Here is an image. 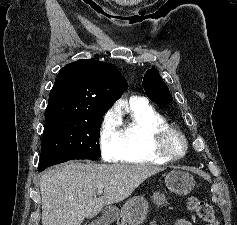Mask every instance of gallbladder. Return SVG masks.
<instances>
[{
    "label": "gallbladder",
    "mask_w": 237,
    "mask_h": 225,
    "mask_svg": "<svg viewBox=\"0 0 237 225\" xmlns=\"http://www.w3.org/2000/svg\"><path fill=\"white\" fill-rule=\"evenodd\" d=\"M109 223H110L109 218L107 216H104L95 222L89 223L88 225H108Z\"/></svg>",
    "instance_id": "gallbladder-1"
}]
</instances>
